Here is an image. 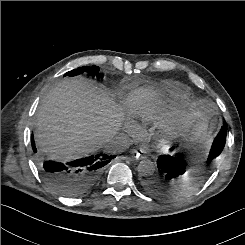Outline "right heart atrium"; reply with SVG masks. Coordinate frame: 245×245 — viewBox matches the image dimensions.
<instances>
[{"mask_svg":"<svg viewBox=\"0 0 245 245\" xmlns=\"http://www.w3.org/2000/svg\"><path fill=\"white\" fill-rule=\"evenodd\" d=\"M124 129L129 135H135L138 130V125L134 121H128Z\"/></svg>","mask_w":245,"mask_h":245,"instance_id":"1","label":"right heart atrium"}]
</instances>
